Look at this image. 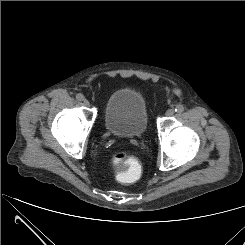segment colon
<instances>
[{
  "label": "colon",
  "instance_id": "colon-1",
  "mask_svg": "<svg viewBox=\"0 0 245 245\" xmlns=\"http://www.w3.org/2000/svg\"><path fill=\"white\" fill-rule=\"evenodd\" d=\"M112 165L120 168L117 179L122 184H132L138 178L139 163L136 158L125 154H115L111 160Z\"/></svg>",
  "mask_w": 245,
  "mask_h": 245
}]
</instances>
